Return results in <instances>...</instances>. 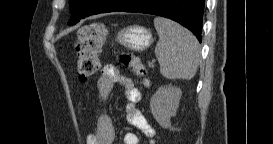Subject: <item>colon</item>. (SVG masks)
I'll return each mask as SVG.
<instances>
[{
    "mask_svg": "<svg viewBox=\"0 0 273 144\" xmlns=\"http://www.w3.org/2000/svg\"><path fill=\"white\" fill-rule=\"evenodd\" d=\"M106 33L103 23H93L79 31L77 50V75L80 81L92 78L99 69V53ZM120 63L130 68L134 73L144 76L145 68L129 53L121 54Z\"/></svg>",
    "mask_w": 273,
    "mask_h": 144,
    "instance_id": "1",
    "label": "colon"
}]
</instances>
